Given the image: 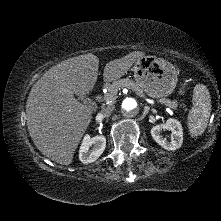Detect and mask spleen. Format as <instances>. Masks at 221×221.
<instances>
[{
	"mask_svg": "<svg viewBox=\"0 0 221 221\" xmlns=\"http://www.w3.org/2000/svg\"><path fill=\"white\" fill-rule=\"evenodd\" d=\"M193 107L188 114V128L192 137L202 134L211 113V99L208 89L203 84H196L193 90Z\"/></svg>",
	"mask_w": 221,
	"mask_h": 221,
	"instance_id": "obj_1",
	"label": "spleen"
}]
</instances>
